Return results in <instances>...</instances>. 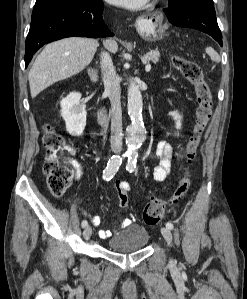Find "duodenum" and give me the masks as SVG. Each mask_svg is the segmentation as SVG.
Listing matches in <instances>:
<instances>
[{
	"label": "duodenum",
	"instance_id": "obj_1",
	"mask_svg": "<svg viewBox=\"0 0 247 299\" xmlns=\"http://www.w3.org/2000/svg\"><path fill=\"white\" fill-rule=\"evenodd\" d=\"M97 115H98L99 122L101 124H104L106 122V117H107L106 109L104 106L100 105L98 107Z\"/></svg>",
	"mask_w": 247,
	"mask_h": 299
}]
</instances>
